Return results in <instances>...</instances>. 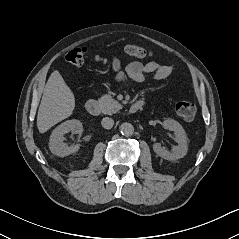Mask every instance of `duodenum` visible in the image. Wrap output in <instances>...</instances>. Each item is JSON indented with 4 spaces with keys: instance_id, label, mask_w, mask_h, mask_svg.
<instances>
[{
    "instance_id": "obj_1",
    "label": "duodenum",
    "mask_w": 239,
    "mask_h": 239,
    "mask_svg": "<svg viewBox=\"0 0 239 239\" xmlns=\"http://www.w3.org/2000/svg\"><path fill=\"white\" fill-rule=\"evenodd\" d=\"M144 106V102L142 100L136 101L129 107L130 113H136L140 111ZM86 110L91 115H98L100 113V105L96 99H90L86 103Z\"/></svg>"
}]
</instances>
